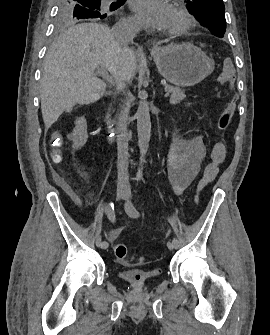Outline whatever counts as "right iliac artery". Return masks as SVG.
I'll return each instance as SVG.
<instances>
[{
    "instance_id": "right-iliac-artery-1",
    "label": "right iliac artery",
    "mask_w": 270,
    "mask_h": 335,
    "mask_svg": "<svg viewBox=\"0 0 270 335\" xmlns=\"http://www.w3.org/2000/svg\"><path fill=\"white\" fill-rule=\"evenodd\" d=\"M106 214H107V217H108V219L112 222V223H114L115 222V211H114V204L112 203V202H110L109 204H107V206H106ZM108 246H109V244H108V242L107 241H103L102 243H101V248L102 249H106V248H108Z\"/></svg>"
}]
</instances>
